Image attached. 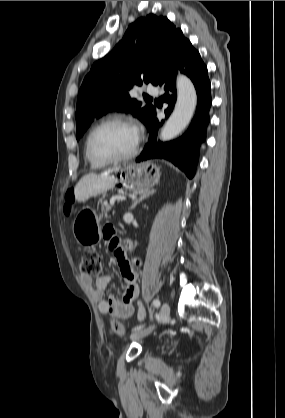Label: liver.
Returning a JSON list of instances; mask_svg holds the SVG:
<instances>
[{
	"label": "liver",
	"instance_id": "6515ba94",
	"mask_svg": "<svg viewBox=\"0 0 285 418\" xmlns=\"http://www.w3.org/2000/svg\"><path fill=\"white\" fill-rule=\"evenodd\" d=\"M118 170L119 167H116L101 174L90 173L84 175L74 188L76 200L84 202L90 197L96 196L114 187L117 179L111 175V173L113 171L117 172Z\"/></svg>",
	"mask_w": 285,
	"mask_h": 418
}]
</instances>
